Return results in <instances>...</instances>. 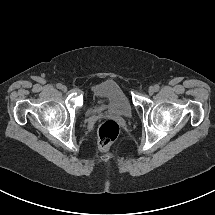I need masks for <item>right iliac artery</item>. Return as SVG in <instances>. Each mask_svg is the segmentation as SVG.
Here are the masks:
<instances>
[{
	"instance_id": "82829eb1",
	"label": "right iliac artery",
	"mask_w": 215,
	"mask_h": 215,
	"mask_svg": "<svg viewBox=\"0 0 215 215\" xmlns=\"http://www.w3.org/2000/svg\"><path fill=\"white\" fill-rule=\"evenodd\" d=\"M56 86H57L58 89L62 88V84L61 83H58Z\"/></svg>"
}]
</instances>
